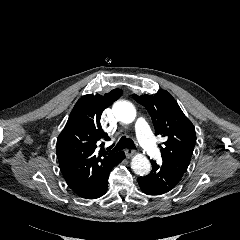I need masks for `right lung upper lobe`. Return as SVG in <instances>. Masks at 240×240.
<instances>
[{"label": "right lung upper lobe", "mask_w": 240, "mask_h": 240, "mask_svg": "<svg viewBox=\"0 0 240 240\" xmlns=\"http://www.w3.org/2000/svg\"><path fill=\"white\" fill-rule=\"evenodd\" d=\"M114 89L104 96L88 94L75 104L67 124L57 139V158L69 187L81 194L116 160L120 152L97 150L99 144L110 138L102 130L100 118L122 94Z\"/></svg>", "instance_id": "obj_1"}]
</instances>
